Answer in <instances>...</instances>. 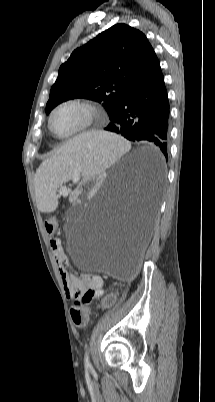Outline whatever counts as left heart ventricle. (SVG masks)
<instances>
[{
  "mask_svg": "<svg viewBox=\"0 0 215 402\" xmlns=\"http://www.w3.org/2000/svg\"><path fill=\"white\" fill-rule=\"evenodd\" d=\"M83 110L68 106L60 109L53 118V128L56 133L64 135L78 129L84 122Z\"/></svg>",
  "mask_w": 215,
  "mask_h": 402,
  "instance_id": "b2bd125f",
  "label": "left heart ventricle"
}]
</instances>
